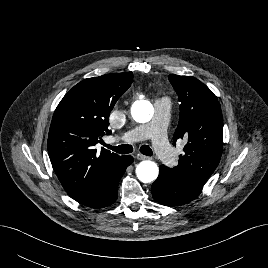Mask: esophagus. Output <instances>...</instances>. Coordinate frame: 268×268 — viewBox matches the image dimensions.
<instances>
[{
	"instance_id": "34e87169",
	"label": "esophagus",
	"mask_w": 268,
	"mask_h": 268,
	"mask_svg": "<svg viewBox=\"0 0 268 268\" xmlns=\"http://www.w3.org/2000/svg\"><path fill=\"white\" fill-rule=\"evenodd\" d=\"M136 157H137L138 160H146V159L149 158L148 156H145V155H142V154H137Z\"/></svg>"
}]
</instances>
